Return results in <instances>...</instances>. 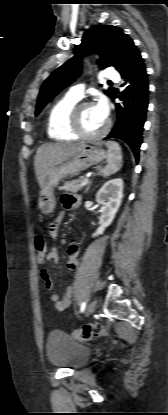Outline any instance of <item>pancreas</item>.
I'll use <instances>...</instances> for the list:
<instances>
[{
	"label": "pancreas",
	"instance_id": "cf45deb5",
	"mask_svg": "<svg viewBox=\"0 0 168 415\" xmlns=\"http://www.w3.org/2000/svg\"><path fill=\"white\" fill-rule=\"evenodd\" d=\"M85 178L83 176L79 177L76 180L65 182V184L60 188L68 192L76 193L81 189V183Z\"/></svg>",
	"mask_w": 168,
	"mask_h": 415
}]
</instances>
